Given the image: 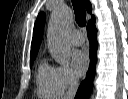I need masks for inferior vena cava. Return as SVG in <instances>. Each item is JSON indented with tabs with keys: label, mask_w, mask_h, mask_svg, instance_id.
Listing matches in <instances>:
<instances>
[{
	"label": "inferior vena cava",
	"mask_w": 128,
	"mask_h": 99,
	"mask_svg": "<svg viewBox=\"0 0 128 99\" xmlns=\"http://www.w3.org/2000/svg\"><path fill=\"white\" fill-rule=\"evenodd\" d=\"M78 86H79L78 79L72 78L70 80L68 91L64 95V99H74L77 89H78Z\"/></svg>",
	"instance_id": "obj_1"
}]
</instances>
